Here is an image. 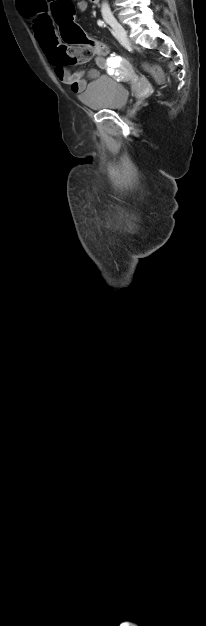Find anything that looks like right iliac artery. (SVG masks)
<instances>
[{
	"instance_id": "right-iliac-artery-1",
	"label": "right iliac artery",
	"mask_w": 206,
	"mask_h": 626,
	"mask_svg": "<svg viewBox=\"0 0 206 626\" xmlns=\"http://www.w3.org/2000/svg\"><path fill=\"white\" fill-rule=\"evenodd\" d=\"M97 24H98L100 27H105V26H106V25H105V23H104L102 20H98V21H97Z\"/></svg>"
}]
</instances>
